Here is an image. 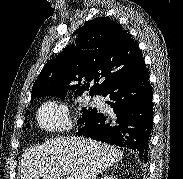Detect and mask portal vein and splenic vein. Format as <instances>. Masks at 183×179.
Returning a JSON list of instances; mask_svg holds the SVG:
<instances>
[{
    "mask_svg": "<svg viewBox=\"0 0 183 179\" xmlns=\"http://www.w3.org/2000/svg\"><path fill=\"white\" fill-rule=\"evenodd\" d=\"M66 179H72L70 176H67Z\"/></svg>",
    "mask_w": 183,
    "mask_h": 179,
    "instance_id": "18ae733b",
    "label": "portal vein and splenic vein"
}]
</instances>
